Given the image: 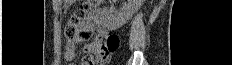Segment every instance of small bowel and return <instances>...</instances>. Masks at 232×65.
Returning a JSON list of instances; mask_svg holds the SVG:
<instances>
[{
	"label": "small bowel",
	"mask_w": 232,
	"mask_h": 65,
	"mask_svg": "<svg viewBox=\"0 0 232 65\" xmlns=\"http://www.w3.org/2000/svg\"><path fill=\"white\" fill-rule=\"evenodd\" d=\"M97 31L99 34H103V30L100 26L99 12L93 11L80 26L79 32L66 42L64 49V61L67 65H72V61L75 58L76 44L83 41L84 36ZM81 65H93L87 59L84 60ZM94 65H100L96 62Z\"/></svg>",
	"instance_id": "small-bowel-1"
}]
</instances>
